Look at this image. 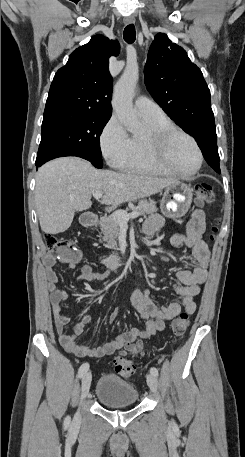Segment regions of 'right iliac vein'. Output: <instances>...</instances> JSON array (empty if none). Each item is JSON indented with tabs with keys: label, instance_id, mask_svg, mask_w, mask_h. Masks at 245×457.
Returning <instances> with one entry per match:
<instances>
[{
	"label": "right iliac vein",
	"instance_id": "1",
	"mask_svg": "<svg viewBox=\"0 0 245 457\" xmlns=\"http://www.w3.org/2000/svg\"><path fill=\"white\" fill-rule=\"evenodd\" d=\"M91 381H92L91 371H88V372L84 373V375L82 376V383H81V400H83L87 396V394L89 392V389H90ZM74 420L75 421H79L80 420V414L79 413H77L75 415Z\"/></svg>",
	"mask_w": 245,
	"mask_h": 457
}]
</instances>
